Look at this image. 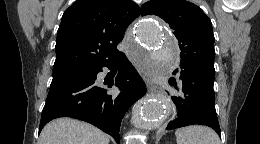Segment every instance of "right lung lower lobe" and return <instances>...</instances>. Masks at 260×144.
<instances>
[{
	"label": "right lung lower lobe",
	"instance_id": "1",
	"mask_svg": "<svg viewBox=\"0 0 260 144\" xmlns=\"http://www.w3.org/2000/svg\"><path fill=\"white\" fill-rule=\"evenodd\" d=\"M104 66L119 68L115 81L109 85L111 87L114 84L121 90L117 96L109 95L107 89L96 82L97 74ZM145 93L146 86L142 78L121 52L111 61L86 66L79 73L52 81L39 131L52 119L71 117L93 124L119 144L123 116Z\"/></svg>",
	"mask_w": 260,
	"mask_h": 144
}]
</instances>
